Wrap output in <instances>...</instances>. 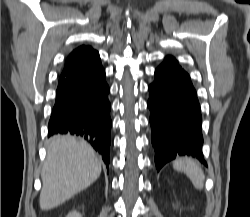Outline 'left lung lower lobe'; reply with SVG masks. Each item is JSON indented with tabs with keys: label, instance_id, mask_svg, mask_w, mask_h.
I'll return each mask as SVG.
<instances>
[{
	"label": "left lung lower lobe",
	"instance_id": "obj_1",
	"mask_svg": "<svg viewBox=\"0 0 250 217\" xmlns=\"http://www.w3.org/2000/svg\"><path fill=\"white\" fill-rule=\"evenodd\" d=\"M150 124L155 164L159 171L177 156L188 155L206 165L201 147V112L189 75L167 56L149 85Z\"/></svg>",
	"mask_w": 250,
	"mask_h": 217
}]
</instances>
